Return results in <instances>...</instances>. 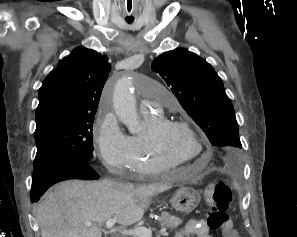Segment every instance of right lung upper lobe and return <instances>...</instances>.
<instances>
[{
    "instance_id": "right-lung-upper-lobe-1",
    "label": "right lung upper lobe",
    "mask_w": 297,
    "mask_h": 237,
    "mask_svg": "<svg viewBox=\"0 0 297 237\" xmlns=\"http://www.w3.org/2000/svg\"><path fill=\"white\" fill-rule=\"evenodd\" d=\"M109 72L107 56L76 48L49 73L39 89L36 124L54 116L95 115Z\"/></svg>"
}]
</instances>
